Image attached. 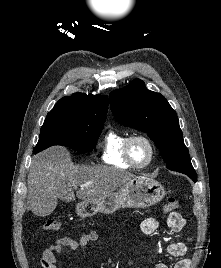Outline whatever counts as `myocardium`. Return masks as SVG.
<instances>
[{"mask_svg":"<svg viewBox=\"0 0 221 268\" xmlns=\"http://www.w3.org/2000/svg\"><path fill=\"white\" fill-rule=\"evenodd\" d=\"M135 140H142L149 149V157L147 161L143 164H137L131 156L130 146H131V143ZM123 153H124L125 159L132 167L141 169V168L147 167L152 162L154 155H155V147H154L152 140L148 136L144 134H132L128 136L124 142Z\"/></svg>","mask_w":221,"mask_h":268,"instance_id":"obj_1","label":"myocardium"}]
</instances>
